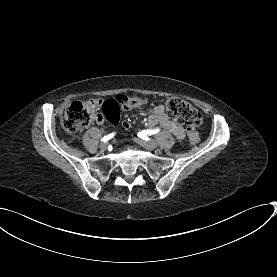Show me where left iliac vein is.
<instances>
[{
	"mask_svg": "<svg viewBox=\"0 0 277 277\" xmlns=\"http://www.w3.org/2000/svg\"><path fill=\"white\" fill-rule=\"evenodd\" d=\"M138 144L142 145L143 147H145L148 150H153L155 148H157L158 143L157 141L151 139V140H140V139H136L135 140Z\"/></svg>",
	"mask_w": 277,
	"mask_h": 277,
	"instance_id": "1",
	"label": "left iliac vein"
}]
</instances>
